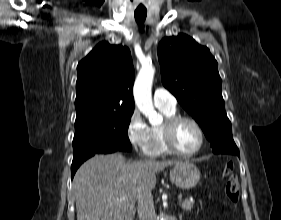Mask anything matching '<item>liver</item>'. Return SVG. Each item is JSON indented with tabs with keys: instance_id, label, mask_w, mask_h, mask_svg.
Wrapping results in <instances>:
<instances>
[{
	"instance_id": "1",
	"label": "liver",
	"mask_w": 281,
	"mask_h": 220,
	"mask_svg": "<svg viewBox=\"0 0 281 220\" xmlns=\"http://www.w3.org/2000/svg\"><path fill=\"white\" fill-rule=\"evenodd\" d=\"M177 160L130 162L121 154L96 155L76 172L77 220H133L140 195L152 192L156 173ZM127 200L118 202V198Z\"/></svg>"
}]
</instances>
